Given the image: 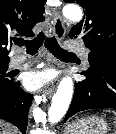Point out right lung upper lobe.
Masks as SVG:
<instances>
[{
  "mask_svg": "<svg viewBox=\"0 0 116 134\" xmlns=\"http://www.w3.org/2000/svg\"><path fill=\"white\" fill-rule=\"evenodd\" d=\"M44 3L45 0H0V62L9 61L7 45L13 35H34L32 29L44 20Z\"/></svg>",
  "mask_w": 116,
  "mask_h": 134,
  "instance_id": "obj_1",
  "label": "right lung upper lobe"
}]
</instances>
